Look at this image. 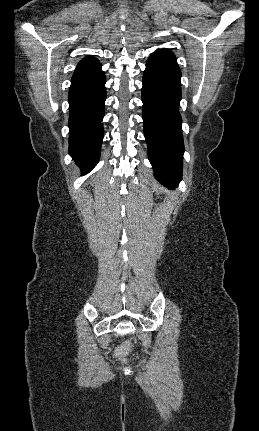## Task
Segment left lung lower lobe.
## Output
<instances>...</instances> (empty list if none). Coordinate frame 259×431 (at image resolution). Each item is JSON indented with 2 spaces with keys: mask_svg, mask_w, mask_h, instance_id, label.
I'll use <instances>...</instances> for the list:
<instances>
[{
  "mask_svg": "<svg viewBox=\"0 0 259 431\" xmlns=\"http://www.w3.org/2000/svg\"><path fill=\"white\" fill-rule=\"evenodd\" d=\"M180 78L176 57L169 49H158L150 55L142 80L144 135L154 175L170 188L182 177Z\"/></svg>",
  "mask_w": 259,
  "mask_h": 431,
  "instance_id": "0a47b994",
  "label": "left lung lower lobe"
}]
</instances>
